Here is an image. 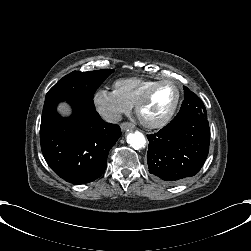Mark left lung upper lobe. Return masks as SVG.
<instances>
[{"label":"left lung upper lobe","instance_id":"left-lung-upper-lobe-1","mask_svg":"<svg viewBox=\"0 0 251 251\" xmlns=\"http://www.w3.org/2000/svg\"><path fill=\"white\" fill-rule=\"evenodd\" d=\"M184 95L185 99L182 103L180 111L173 120L192 116H200L207 118V112L202 100L185 86Z\"/></svg>","mask_w":251,"mask_h":251}]
</instances>
